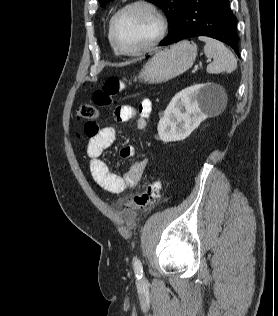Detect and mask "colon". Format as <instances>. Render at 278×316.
Here are the masks:
<instances>
[{"label":"colon","mask_w":278,"mask_h":316,"mask_svg":"<svg viewBox=\"0 0 278 316\" xmlns=\"http://www.w3.org/2000/svg\"><path fill=\"white\" fill-rule=\"evenodd\" d=\"M124 89L123 82L116 78H108L102 88L96 90L93 94V102L96 106L104 107L112 104L113 98ZM76 118L79 121L85 122L84 133L87 136H92L97 133L99 126L97 123L98 110L94 105L82 104L76 111ZM161 182L153 180L148 183L145 189L131 197L126 207L130 210H146L152 207L160 197Z\"/></svg>","instance_id":"colon-1"}]
</instances>
